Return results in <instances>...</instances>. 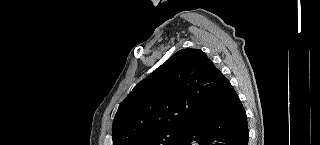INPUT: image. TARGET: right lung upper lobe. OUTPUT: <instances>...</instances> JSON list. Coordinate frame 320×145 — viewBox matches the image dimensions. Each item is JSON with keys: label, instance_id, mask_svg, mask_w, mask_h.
Masks as SVG:
<instances>
[{"label": "right lung upper lobe", "instance_id": "right-lung-upper-lobe-1", "mask_svg": "<svg viewBox=\"0 0 320 145\" xmlns=\"http://www.w3.org/2000/svg\"><path fill=\"white\" fill-rule=\"evenodd\" d=\"M224 75L200 49H182L139 82L114 118L113 145L158 130L185 128L208 115Z\"/></svg>", "mask_w": 320, "mask_h": 145}]
</instances>
